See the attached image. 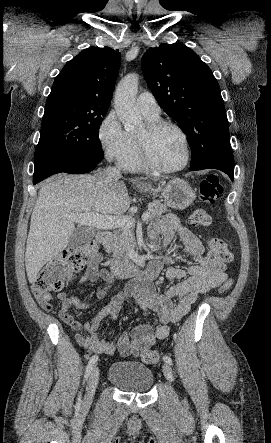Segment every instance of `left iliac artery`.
<instances>
[{
	"label": "left iliac artery",
	"instance_id": "left-iliac-artery-1",
	"mask_svg": "<svg viewBox=\"0 0 271 443\" xmlns=\"http://www.w3.org/2000/svg\"><path fill=\"white\" fill-rule=\"evenodd\" d=\"M163 361L169 365H172V359L169 356H164Z\"/></svg>",
	"mask_w": 271,
	"mask_h": 443
}]
</instances>
